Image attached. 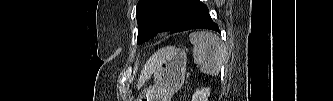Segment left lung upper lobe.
<instances>
[{"mask_svg":"<svg viewBox=\"0 0 333 101\" xmlns=\"http://www.w3.org/2000/svg\"><path fill=\"white\" fill-rule=\"evenodd\" d=\"M185 15L178 0H139L136 8L138 44L148 41L159 32H177Z\"/></svg>","mask_w":333,"mask_h":101,"instance_id":"left-lung-upper-lobe-1","label":"left lung upper lobe"}]
</instances>
